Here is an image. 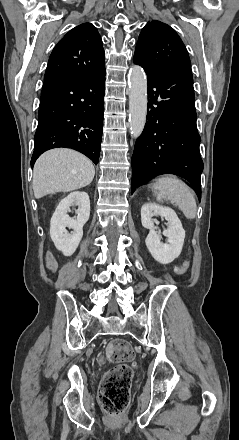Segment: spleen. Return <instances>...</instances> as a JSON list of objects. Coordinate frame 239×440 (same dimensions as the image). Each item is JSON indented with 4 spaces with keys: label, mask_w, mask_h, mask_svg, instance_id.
<instances>
[{
    "label": "spleen",
    "mask_w": 239,
    "mask_h": 440,
    "mask_svg": "<svg viewBox=\"0 0 239 440\" xmlns=\"http://www.w3.org/2000/svg\"><path fill=\"white\" fill-rule=\"evenodd\" d=\"M155 190L157 202L163 200H171L179 210H182L184 216L188 220H193L196 216L197 206L194 198V192L186 186L184 182L178 180L176 176H165L158 178L157 182L152 186Z\"/></svg>",
    "instance_id": "1"
}]
</instances>
